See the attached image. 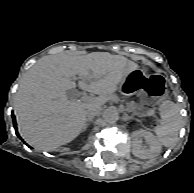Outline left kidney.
Wrapping results in <instances>:
<instances>
[{"instance_id":"obj_1","label":"left kidney","mask_w":194,"mask_h":193,"mask_svg":"<svg viewBox=\"0 0 194 193\" xmlns=\"http://www.w3.org/2000/svg\"><path fill=\"white\" fill-rule=\"evenodd\" d=\"M141 138H145L149 149H144L141 146ZM161 149V143L151 132L139 129L132 133V153L134 156L140 159H152L161 153Z\"/></svg>"}]
</instances>
